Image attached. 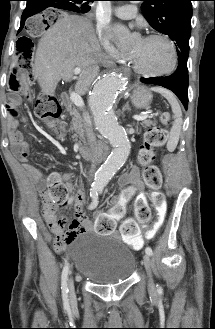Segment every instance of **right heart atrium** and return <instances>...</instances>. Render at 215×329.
Wrapping results in <instances>:
<instances>
[{"label": "right heart atrium", "instance_id": "right-heart-atrium-1", "mask_svg": "<svg viewBox=\"0 0 215 329\" xmlns=\"http://www.w3.org/2000/svg\"><path fill=\"white\" fill-rule=\"evenodd\" d=\"M96 33L103 46L111 54L112 57L115 59L124 58V54L121 53L114 44L113 31L110 26L99 21L96 25Z\"/></svg>", "mask_w": 215, "mask_h": 329}]
</instances>
